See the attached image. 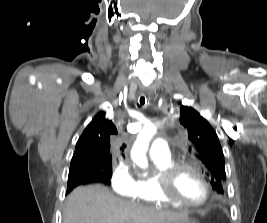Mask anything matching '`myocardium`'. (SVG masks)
<instances>
[{
	"label": "myocardium",
	"instance_id": "myocardium-1",
	"mask_svg": "<svg viewBox=\"0 0 267 223\" xmlns=\"http://www.w3.org/2000/svg\"><path fill=\"white\" fill-rule=\"evenodd\" d=\"M184 169H188L195 172L202 180L205 186V196L201 201H187L182 198H179L174 193V181L178 174ZM156 182L159 194L167 204H176L187 208H199L206 204L211 196V186L206 175L198 166L189 162H175L171 164L169 167L165 168L158 174Z\"/></svg>",
	"mask_w": 267,
	"mask_h": 223
}]
</instances>
